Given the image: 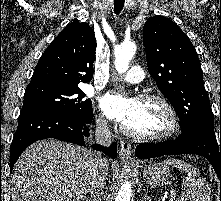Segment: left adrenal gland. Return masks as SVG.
<instances>
[{"label":"left adrenal gland","mask_w":221,"mask_h":201,"mask_svg":"<svg viewBox=\"0 0 221 201\" xmlns=\"http://www.w3.org/2000/svg\"><path fill=\"white\" fill-rule=\"evenodd\" d=\"M143 201H150V198L147 194L144 195Z\"/></svg>","instance_id":"a2214340"}]
</instances>
